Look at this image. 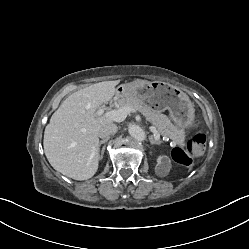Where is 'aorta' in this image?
Listing matches in <instances>:
<instances>
[{"mask_svg": "<svg viewBox=\"0 0 249 249\" xmlns=\"http://www.w3.org/2000/svg\"><path fill=\"white\" fill-rule=\"evenodd\" d=\"M129 134L137 141L145 140V132L138 125H130L128 128Z\"/></svg>", "mask_w": 249, "mask_h": 249, "instance_id": "obj_1", "label": "aorta"}]
</instances>
